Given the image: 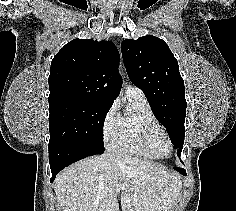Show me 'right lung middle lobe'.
I'll return each instance as SVG.
<instances>
[{"instance_id":"dd1d6c3e","label":"right lung middle lobe","mask_w":236,"mask_h":211,"mask_svg":"<svg viewBox=\"0 0 236 211\" xmlns=\"http://www.w3.org/2000/svg\"><path fill=\"white\" fill-rule=\"evenodd\" d=\"M111 104L65 102L50 108L49 147L57 145H90L103 148V124Z\"/></svg>"}]
</instances>
